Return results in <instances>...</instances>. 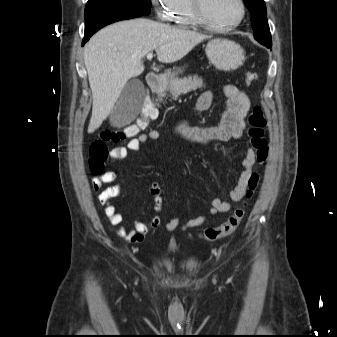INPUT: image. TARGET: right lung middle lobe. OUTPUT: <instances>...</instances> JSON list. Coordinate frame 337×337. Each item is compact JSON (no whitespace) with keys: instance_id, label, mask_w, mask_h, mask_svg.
I'll list each match as a JSON object with an SVG mask.
<instances>
[{"instance_id":"1","label":"right lung middle lobe","mask_w":337,"mask_h":337,"mask_svg":"<svg viewBox=\"0 0 337 337\" xmlns=\"http://www.w3.org/2000/svg\"><path fill=\"white\" fill-rule=\"evenodd\" d=\"M151 0H88L85 8V19L109 10H127L144 15L150 13Z\"/></svg>"}]
</instances>
